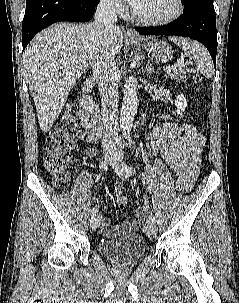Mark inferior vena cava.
Returning <instances> with one entry per match:
<instances>
[{
	"label": "inferior vena cava",
	"mask_w": 239,
	"mask_h": 303,
	"mask_svg": "<svg viewBox=\"0 0 239 303\" xmlns=\"http://www.w3.org/2000/svg\"><path fill=\"white\" fill-rule=\"evenodd\" d=\"M116 4L114 0H100L95 14L94 26L101 40H108L109 33L116 27ZM93 72L99 80V91L103 117V146L105 150L120 148L118 135V84L117 67L106 43L95 52L92 58Z\"/></svg>",
	"instance_id": "602c4592"
}]
</instances>
